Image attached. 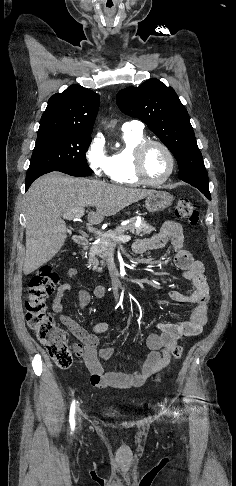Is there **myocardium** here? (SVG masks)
Listing matches in <instances>:
<instances>
[{
  "mask_svg": "<svg viewBox=\"0 0 236 486\" xmlns=\"http://www.w3.org/2000/svg\"><path fill=\"white\" fill-rule=\"evenodd\" d=\"M156 145L159 146L167 155L169 160V169L166 175L160 180H151L146 176L144 170V155L146 150L152 146ZM133 166H134V173L137 179L142 183L149 186H160L166 183L171 176L173 175L176 167V161L173 152L171 149L162 141L153 140V139H145L141 143H139L133 152Z\"/></svg>",
  "mask_w": 236,
  "mask_h": 486,
  "instance_id": "myocardium-1",
  "label": "myocardium"
}]
</instances>
